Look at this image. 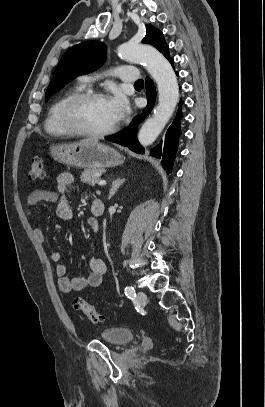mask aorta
Masks as SVG:
<instances>
[{
  "mask_svg": "<svg viewBox=\"0 0 265 407\" xmlns=\"http://www.w3.org/2000/svg\"><path fill=\"white\" fill-rule=\"evenodd\" d=\"M118 55L130 62L145 64L158 87V105L151 118L142 125L138 140L141 145L152 144L161 133L179 101V86L168 60L157 50L131 42L118 47Z\"/></svg>",
  "mask_w": 265,
  "mask_h": 407,
  "instance_id": "aorta-1",
  "label": "aorta"
}]
</instances>
